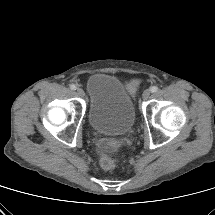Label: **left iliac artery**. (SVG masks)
Masks as SVG:
<instances>
[{"instance_id":"44dca946","label":"left iliac artery","mask_w":215,"mask_h":215,"mask_svg":"<svg viewBox=\"0 0 215 215\" xmlns=\"http://www.w3.org/2000/svg\"><path fill=\"white\" fill-rule=\"evenodd\" d=\"M150 90H151L152 93H155V92L158 91V87H157V86H152V87L150 88Z\"/></svg>"}]
</instances>
